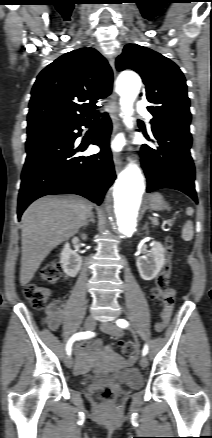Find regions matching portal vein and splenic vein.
<instances>
[{"mask_svg":"<svg viewBox=\"0 0 212 438\" xmlns=\"http://www.w3.org/2000/svg\"><path fill=\"white\" fill-rule=\"evenodd\" d=\"M163 223L169 225V224H171V220H165V221H163Z\"/></svg>","mask_w":212,"mask_h":438,"instance_id":"portal-vein-and-splenic-vein-1","label":"portal vein and splenic vein"}]
</instances>
